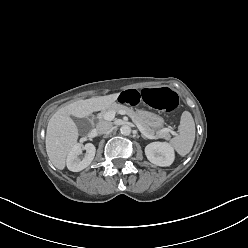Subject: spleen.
I'll return each mask as SVG.
<instances>
[{
    "mask_svg": "<svg viewBox=\"0 0 248 248\" xmlns=\"http://www.w3.org/2000/svg\"><path fill=\"white\" fill-rule=\"evenodd\" d=\"M178 129L179 134L171 139L170 145L179 155L184 156L191 151L195 140V123L190 112L182 113Z\"/></svg>",
    "mask_w": 248,
    "mask_h": 248,
    "instance_id": "obj_1",
    "label": "spleen"
}]
</instances>
